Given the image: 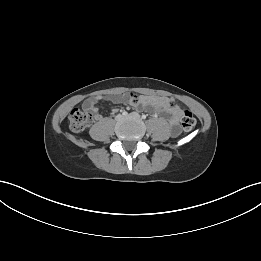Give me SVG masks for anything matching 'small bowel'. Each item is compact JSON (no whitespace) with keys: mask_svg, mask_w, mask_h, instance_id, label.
Segmentation results:
<instances>
[{"mask_svg":"<svg viewBox=\"0 0 261 261\" xmlns=\"http://www.w3.org/2000/svg\"><path fill=\"white\" fill-rule=\"evenodd\" d=\"M109 101L114 104H129L139 110L153 113L163 117L170 125L174 136L179 133V122L182 116L180 105L172 99L162 96H146L144 94L130 93L128 95L93 96L87 98L82 108L93 114L96 120L101 119L98 103Z\"/></svg>","mask_w":261,"mask_h":261,"instance_id":"c3829d8e","label":"small bowel"}]
</instances>
